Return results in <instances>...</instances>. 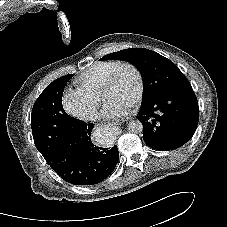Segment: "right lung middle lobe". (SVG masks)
Returning <instances> with one entry per match:
<instances>
[{
	"label": "right lung middle lobe",
	"instance_id": "obj_1",
	"mask_svg": "<svg viewBox=\"0 0 227 227\" xmlns=\"http://www.w3.org/2000/svg\"><path fill=\"white\" fill-rule=\"evenodd\" d=\"M72 74L51 82L37 98L31 114V128L36 148L47 156L63 132V126L73 117L62 106V95L67 81Z\"/></svg>",
	"mask_w": 227,
	"mask_h": 227
}]
</instances>
